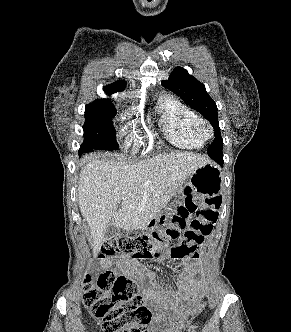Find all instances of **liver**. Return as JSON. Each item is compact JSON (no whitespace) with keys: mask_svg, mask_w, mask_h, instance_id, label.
<instances>
[{"mask_svg":"<svg viewBox=\"0 0 291 332\" xmlns=\"http://www.w3.org/2000/svg\"><path fill=\"white\" fill-rule=\"evenodd\" d=\"M87 159L80 172L77 200L90 228L94 256L105 242L104 232L111 221L127 231L143 228L194 170L211 162L208 156L193 152L159 154L133 164L108 155Z\"/></svg>","mask_w":291,"mask_h":332,"instance_id":"6515ba94","label":"liver"}]
</instances>
